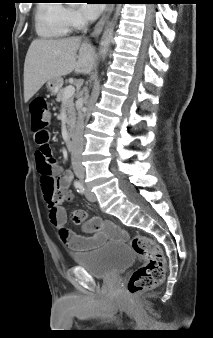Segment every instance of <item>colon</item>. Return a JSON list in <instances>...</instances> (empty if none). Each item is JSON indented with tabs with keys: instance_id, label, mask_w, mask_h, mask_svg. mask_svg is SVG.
Here are the masks:
<instances>
[{
	"instance_id": "5ec220e1",
	"label": "colon",
	"mask_w": 213,
	"mask_h": 338,
	"mask_svg": "<svg viewBox=\"0 0 213 338\" xmlns=\"http://www.w3.org/2000/svg\"><path fill=\"white\" fill-rule=\"evenodd\" d=\"M30 112L32 115V129L35 141L39 146L46 145L49 140L47 127L52 122V115L45 99L38 97L31 101ZM37 170L41 176V186L44 200L48 209L51 223L56 221V181L53 178L54 165L57 164L53 157L42 156L39 149L36 153ZM104 225L93 222L90 228H101ZM129 244L139 256L141 264L135 269L128 280L127 289L130 294H136L147 288L158 286L165 275V257L161 247L154 240L144 235H134L129 238Z\"/></svg>"
}]
</instances>
